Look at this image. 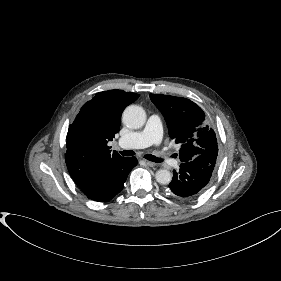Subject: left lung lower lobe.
<instances>
[{
	"mask_svg": "<svg viewBox=\"0 0 281 281\" xmlns=\"http://www.w3.org/2000/svg\"><path fill=\"white\" fill-rule=\"evenodd\" d=\"M218 153L202 154L195 159L181 163L178 171L173 170L169 189L182 200L199 195L209 183L214 172Z\"/></svg>",
	"mask_w": 281,
	"mask_h": 281,
	"instance_id": "1",
	"label": "left lung lower lobe"
}]
</instances>
